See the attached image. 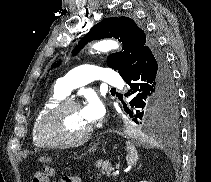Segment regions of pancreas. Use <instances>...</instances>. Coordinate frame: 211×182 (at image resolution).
<instances>
[{"mask_svg":"<svg viewBox=\"0 0 211 182\" xmlns=\"http://www.w3.org/2000/svg\"><path fill=\"white\" fill-rule=\"evenodd\" d=\"M96 167L101 170L102 174H106L107 176H109L110 172L113 170L111 164L108 161L99 160L96 163Z\"/></svg>","mask_w":211,"mask_h":182,"instance_id":"obj_1","label":"pancreas"}]
</instances>
